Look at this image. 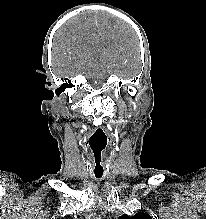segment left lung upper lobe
<instances>
[{"label":"left lung upper lobe","instance_id":"1","mask_svg":"<svg viewBox=\"0 0 206 219\" xmlns=\"http://www.w3.org/2000/svg\"><path fill=\"white\" fill-rule=\"evenodd\" d=\"M119 219H152V217L144 212H139L132 217L124 214L122 216H119Z\"/></svg>","mask_w":206,"mask_h":219}]
</instances>
